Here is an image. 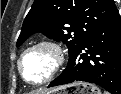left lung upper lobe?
<instances>
[{
  "mask_svg": "<svg viewBox=\"0 0 121 94\" xmlns=\"http://www.w3.org/2000/svg\"><path fill=\"white\" fill-rule=\"evenodd\" d=\"M119 15L113 0H35L16 46L36 32L63 41L69 56L96 30Z\"/></svg>",
  "mask_w": 121,
  "mask_h": 94,
  "instance_id": "5c2ea615",
  "label": "left lung upper lobe"
}]
</instances>
